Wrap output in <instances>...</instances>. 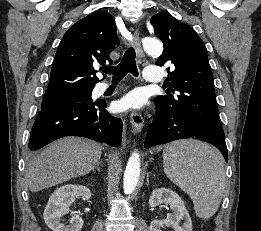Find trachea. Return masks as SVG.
Here are the masks:
<instances>
[{
    "label": "trachea",
    "instance_id": "3493384b",
    "mask_svg": "<svg viewBox=\"0 0 261 231\" xmlns=\"http://www.w3.org/2000/svg\"><path fill=\"white\" fill-rule=\"evenodd\" d=\"M135 51L133 48H129L124 53L123 59L116 67H106L103 68L102 71L106 74L113 75V81L122 80L127 73H131L133 76H138V70L136 66L135 60Z\"/></svg>",
    "mask_w": 261,
    "mask_h": 231
}]
</instances>
